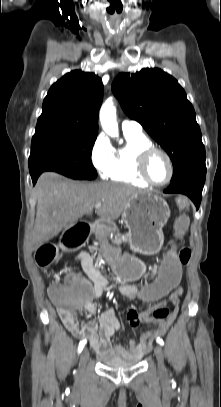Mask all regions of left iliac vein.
I'll return each mask as SVG.
<instances>
[{
  "mask_svg": "<svg viewBox=\"0 0 221 407\" xmlns=\"http://www.w3.org/2000/svg\"><path fill=\"white\" fill-rule=\"evenodd\" d=\"M154 354L156 356L157 363H158V372L160 375H163L165 372V366H164V362H163V350L160 345H157L155 347Z\"/></svg>",
  "mask_w": 221,
  "mask_h": 407,
  "instance_id": "1",
  "label": "left iliac vein"
}]
</instances>
